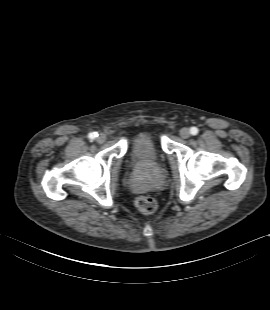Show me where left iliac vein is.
Returning <instances> with one entry per match:
<instances>
[{
	"mask_svg": "<svg viewBox=\"0 0 270 310\" xmlns=\"http://www.w3.org/2000/svg\"><path fill=\"white\" fill-rule=\"evenodd\" d=\"M191 135L190 133V130L188 128H182L180 130V136L183 138V139H187L189 138Z\"/></svg>",
	"mask_w": 270,
	"mask_h": 310,
	"instance_id": "4c4485c4",
	"label": "left iliac vein"
}]
</instances>
